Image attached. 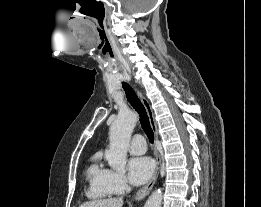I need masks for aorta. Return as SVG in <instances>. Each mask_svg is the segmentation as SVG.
<instances>
[{"mask_svg": "<svg viewBox=\"0 0 261 207\" xmlns=\"http://www.w3.org/2000/svg\"><path fill=\"white\" fill-rule=\"evenodd\" d=\"M136 123L137 115L132 111H125L119 113L110 126V143L105 157L109 166L118 172L125 171L127 150ZM162 197L161 189L155 190L146 201L144 207H160Z\"/></svg>", "mask_w": 261, "mask_h": 207, "instance_id": "obj_1", "label": "aorta"}]
</instances>
